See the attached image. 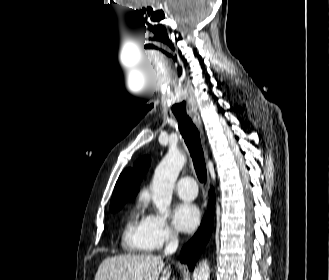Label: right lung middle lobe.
I'll return each instance as SVG.
<instances>
[{
    "label": "right lung middle lobe",
    "instance_id": "obj_1",
    "mask_svg": "<svg viewBox=\"0 0 329 280\" xmlns=\"http://www.w3.org/2000/svg\"><path fill=\"white\" fill-rule=\"evenodd\" d=\"M127 200L128 199L118 202L116 205L110 207V210L112 212H115V211L119 210Z\"/></svg>",
    "mask_w": 329,
    "mask_h": 280
}]
</instances>
